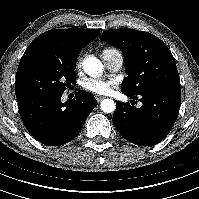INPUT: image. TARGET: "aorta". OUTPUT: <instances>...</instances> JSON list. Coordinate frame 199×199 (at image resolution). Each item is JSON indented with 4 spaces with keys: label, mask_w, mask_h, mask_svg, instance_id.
<instances>
[{
    "label": "aorta",
    "mask_w": 199,
    "mask_h": 199,
    "mask_svg": "<svg viewBox=\"0 0 199 199\" xmlns=\"http://www.w3.org/2000/svg\"><path fill=\"white\" fill-rule=\"evenodd\" d=\"M83 69L88 75H98L103 71V64L99 59L90 56L84 60ZM100 108L105 113H112L116 104L112 99H104L101 101Z\"/></svg>",
    "instance_id": "obj_1"
}]
</instances>
